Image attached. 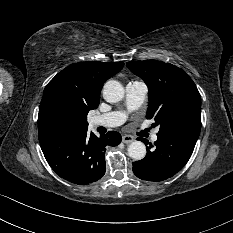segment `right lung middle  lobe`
<instances>
[{"label":"right lung middle lobe","mask_w":233,"mask_h":233,"mask_svg":"<svg viewBox=\"0 0 233 233\" xmlns=\"http://www.w3.org/2000/svg\"><path fill=\"white\" fill-rule=\"evenodd\" d=\"M48 119L54 124H65L75 119V112L63 102H55L47 112Z\"/></svg>","instance_id":"obj_1"}]
</instances>
